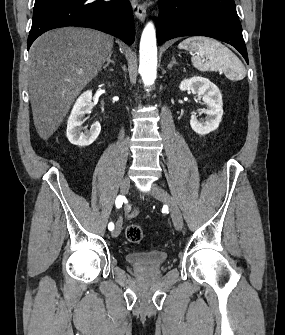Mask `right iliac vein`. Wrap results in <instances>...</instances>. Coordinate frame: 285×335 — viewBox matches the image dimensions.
Returning <instances> with one entry per match:
<instances>
[{"mask_svg":"<svg viewBox=\"0 0 285 335\" xmlns=\"http://www.w3.org/2000/svg\"><path fill=\"white\" fill-rule=\"evenodd\" d=\"M130 189V179L129 177H125L120 184V191L123 195H126ZM122 222L120 220L117 221L115 229L112 231V237H118L121 231Z\"/></svg>","mask_w":285,"mask_h":335,"instance_id":"1","label":"right iliac vein"}]
</instances>
